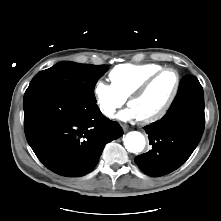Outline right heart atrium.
I'll return each instance as SVG.
<instances>
[{
    "label": "right heart atrium",
    "mask_w": 221,
    "mask_h": 221,
    "mask_svg": "<svg viewBox=\"0 0 221 221\" xmlns=\"http://www.w3.org/2000/svg\"><path fill=\"white\" fill-rule=\"evenodd\" d=\"M93 95L99 111L108 119H112L116 111L125 102V99L116 91L113 85L102 80L95 83Z\"/></svg>",
    "instance_id": "1"
}]
</instances>
